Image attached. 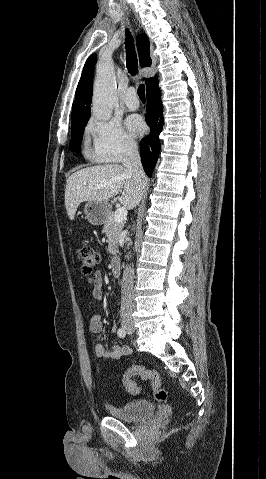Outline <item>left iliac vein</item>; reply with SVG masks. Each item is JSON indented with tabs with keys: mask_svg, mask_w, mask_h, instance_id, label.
I'll return each mask as SVG.
<instances>
[{
	"mask_svg": "<svg viewBox=\"0 0 266 479\" xmlns=\"http://www.w3.org/2000/svg\"><path fill=\"white\" fill-rule=\"evenodd\" d=\"M133 332H134V328H133V327L128 330V334H132Z\"/></svg>",
	"mask_w": 266,
	"mask_h": 479,
	"instance_id": "left-iliac-vein-1",
	"label": "left iliac vein"
}]
</instances>
